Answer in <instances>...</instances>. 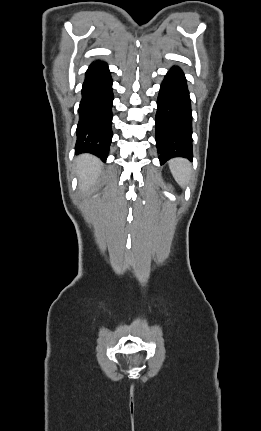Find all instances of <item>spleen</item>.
Returning <instances> with one entry per match:
<instances>
[{
  "mask_svg": "<svg viewBox=\"0 0 261 431\" xmlns=\"http://www.w3.org/2000/svg\"><path fill=\"white\" fill-rule=\"evenodd\" d=\"M170 171L180 186H184L191 177L190 163L181 158L173 159L169 162Z\"/></svg>",
  "mask_w": 261,
  "mask_h": 431,
  "instance_id": "3e777b00",
  "label": "spleen"
}]
</instances>
